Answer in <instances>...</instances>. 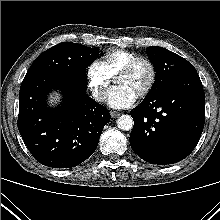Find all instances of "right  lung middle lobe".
<instances>
[{"label": "right lung middle lobe", "mask_w": 220, "mask_h": 220, "mask_svg": "<svg viewBox=\"0 0 220 220\" xmlns=\"http://www.w3.org/2000/svg\"><path fill=\"white\" fill-rule=\"evenodd\" d=\"M98 47L89 48L72 42H62L40 54L27 74L50 71H82L98 57Z\"/></svg>", "instance_id": "dd1d6c3e"}]
</instances>
